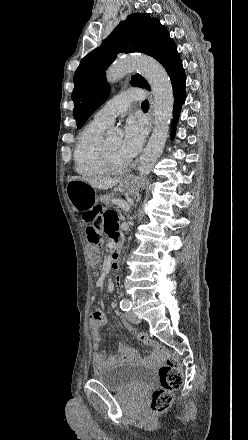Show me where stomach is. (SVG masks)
Instances as JSON below:
<instances>
[{"label": "stomach", "mask_w": 248, "mask_h": 440, "mask_svg": "<svg viewBox=\"0 0 248 440\" xmlns=\"http://www.w3.org/2000/svg\"><path fill=\"white\" fill-rule=\"evenodd\" d=\"M119 186L123 191L130 194L137 191L141 183L131 176H127L120 182ZM67 194L73 208L77 211L83 210L87 206L85 203L86 198L89 202L96 199L93 187L80 180H70L68 182Z\"/></svg>", "instance_id": "stomach-1"}]
</instances>
